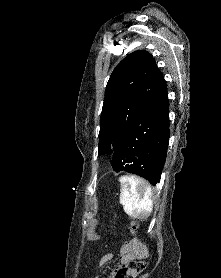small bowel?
<instances>
[{"instance_id": "small-bowel-1", "label": "small bowel", "mask_w": 221, "mask_h": 278, "mask_svg": "<svg viewBox=\"0 0 221 278\" xmlns=\"http://www.w3.org/2000/svg\"><path fill=\"white\" fill-rule=\"evenodd\" d=\"M147 250L144 246L139 244L136 241H130L126 242L122 245L121 247V264L124 266L126 265L129 261H131L134 258H137L141 255H147ZM113 255L112 254H106L104 255L100 261H99V266H103L104 264L108 263L112 259ZM106 278H116V274H110Z\"/></svg>"}]
</instances>
